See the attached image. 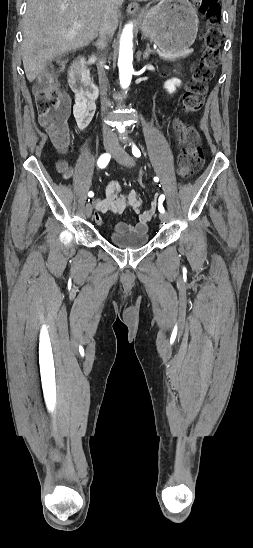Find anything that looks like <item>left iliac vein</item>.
Instances as JSON below:
<instances>
[{"label": "left iliac vein", "mask_w": 253, "mask_h": 548, "mask_svg": "<svg viewBox=\"0 0 253 548\" xmlns=\"http://www.w3.org/2000/svg\"><path fill=\"white\" fill-rule=\"evenodd\" d=\"M114 158L121 165H124L127 167H132L135 165L134 159L129 154H127V152L119 145H116V148L114 150ZM159 219L162 222H167L169 218L166 213H160Z\"/></svg>", "instance_id": "1"}]
</instances>
